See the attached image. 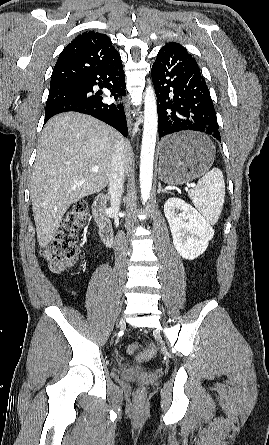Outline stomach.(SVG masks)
Wrapping results in <instances>:
<instances>
[{"label":"stomach","mask_w":269,"mask_h":445,"mask_svg":"<svg viewBox=\"0 0 269 445\" xmlns=\"http://www.w3.org/2000/svg\"><path fill=\"white\" fill-rule=\"evenodd\" d=\"M178 146L176 153L164 152L167 144ZM212 142L195 132H181L164 138L159 148V179L169 185H181L203 175L212 165Z\"/></svg>","instance_id":"1"}]
</instances>
